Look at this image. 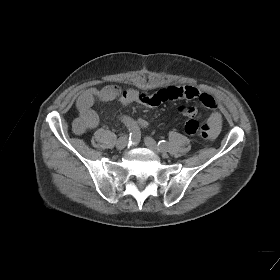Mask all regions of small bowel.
Here are the masks:
<instances>
[{
	"mask_svg": "<svg viewBox=\"0 0 280 280\" xmlns=\"http://www.w3.org/2000/svg\"><path fill=\"white\" fill-rule=\"evenodd\" d=\"M107 88L96 89L90 88L81 93L77 100L78 118L74 121L73 130L76 134L81 135L87 130L93 129L98 125V115L92 109L96 101L105 102L113 99ZM197 100L204 107L209 109L216 108L215 99L198 89L191 86H169L158 90L153 94L142 93L136 89L129 88L122 92L119 101L122 105L127 106L131 103H139L147 107H155L165 101L172 100ZM181 112L189 118L198 116L197 108L192 104H185L180 108ZM139 128H144L147 122L144 119L134 121ZM206 124L211 128L209 138H214L220 131L222 125V114L214 111L208 117Z\"/></svg>",
	"mask_w": 280,
	"mask_h": 280,
	"instance_id": "obj_1",
	"label": "small bowel"
}]
</instances>
